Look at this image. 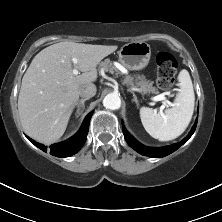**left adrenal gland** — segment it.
Masks as SVG:
<instances>
[{
    "label": "left adrenal gland",
    "mask_w": 222,
    "mask_h": 222,
    "mask_svg": "<svg viewBox=\"0 0 222 222\" xmlns=\"http://www.w3.org/2000/svg\"><path fill=\"white\" fill-rule=\"evenodd\" d=\"M132 94H133V99H132V102H135V103H136V105L138 106V105H139V103H138L137 96L134 94V92H132Z\"/></svg>",
    "instance_id": "a2214340"
}]
</instances>
